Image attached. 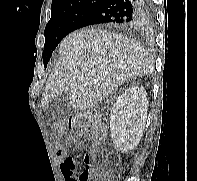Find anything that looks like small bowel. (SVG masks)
I'll list each match as a JSON object with an SVG mask.
<instances>
[{
  "label": "small bowel",
  "mask_w": 197,
  "mask_h": 181,
  "mask_svg": "<svg viewBox=\"0 0 197 181\" xmlns=\"http://www.w3.org/2000/svg\"><path fill=\"white\" fill-rule=\"evenodd\" d=\"M68 141L74 142L73 139H69ZM77 147L81 148V145L78 144ZM56 157L60 161V168L65 181H78L75 176V159L67 154L64 147H61L56 151Z\"/></svg>",
  "instance_id": "small-bowel-1"
}]
</instances>
